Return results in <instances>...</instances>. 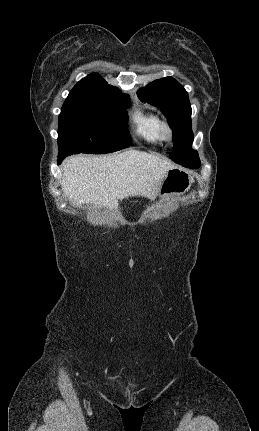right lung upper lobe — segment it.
<instances>
[{
    "instance_id": "obj_1",
    "label": "right lung upper lobe",
    "mask_w": 259,
    "mask_h": 431,
    "mask_svg": "<svg viewBox=\"0 0 259 431\" xmlns=\"http://www.w3.org/2000/svg\"><path fill=\"white\" fill-rule=\"evenodd\" d=\"M114 94L122 93L118 88L109 85L101 76L92 74L80 80L71 90L68 97L75 99H99Z\"/></svg>"
}]
</instances>
